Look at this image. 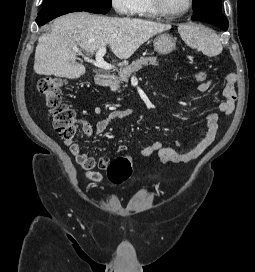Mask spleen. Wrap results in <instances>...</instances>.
I'll list each match as a JSON object with an SVG mask.
<instances>
[{
	"mask_svg": "<svg viewBox=\"0 0 255 272\" xmlns=\"http://www.w3.org/2000/svg\"><path fill=\"white\" fill-rule=\"evenodd\" d=\"M178 32L189 47L199 49L207 56H216L222 52L223 47L218 35L204 25H180Z\"/></svg>",
	"mask_w": 255,
	"mask_h": 272,
	"instance_id": "obj_1",
	"label": "spleen"
}]
</instances>
